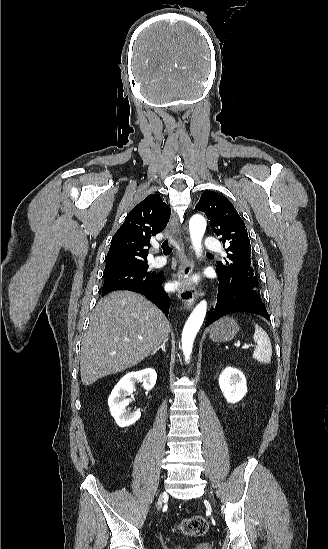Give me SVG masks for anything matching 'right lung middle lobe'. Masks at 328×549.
I'll list each match as a JSON object with an SVG mask.
<instances>
[{"instance_id": "right-lung-middle-lobe-1", "label": "right lung middle lobe", "mask_w": 328, "mask_h": 549, "mask_svg": "<svg viewBox=\"0 0 328 549\" xmlns=\"http://www.w3.org/2000/svg\"><path fill=\"white\" fill-rule=\"evenodd\" d=\"M102 295L114 290H125L129 287L148 286L158 276L148 270V265L124 268L105 272Z\"/></svg>"}]
</instances>
